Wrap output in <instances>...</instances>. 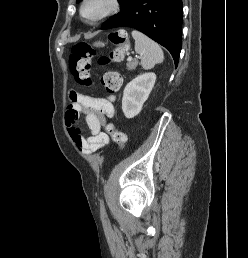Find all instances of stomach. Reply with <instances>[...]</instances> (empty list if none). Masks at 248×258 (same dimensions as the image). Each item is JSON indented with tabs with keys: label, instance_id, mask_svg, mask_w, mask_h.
<instances>
[{
	"label": "stomach",
	"instance_id": "obj_1",
	"mask_svg": "<svg viewBox=\"0 0 248 258\" xmlns=\"http://www.w3.org/2000/svg\"><path fill=\"white\" fill-rule=\"evenodd\" d=\"M94 46L98 47V46H104V43L102 42H96L94 43Z\"/></svg>",
	"mask_w": 248,
	"mask_h": 258
}]
</instances>
